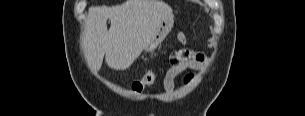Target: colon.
<instances>
[{
	"mask_svg": "<svg viewBox=\"0 0 305 116\" xmlns=\"http://www.w3.org/2000/svg\"><path fill=\"white\" fill-rule=\"evenodd\" d=\"M177 38L181 44H185L187 41V37L183 32H179ZM156 77L157 75L155 71H147L141 78L135 80L132 83V91L138 95L142 94L148 87H150L154 83Z\"/></svg>",
	"mask_w": 305,
	"mask_h": 116,
	"instance_id": "colon-1",
	"label": "colon"
}]
</instances>
